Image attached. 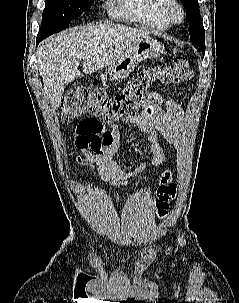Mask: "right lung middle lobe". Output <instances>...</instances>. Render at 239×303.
<instances>
[{
	"mask_svg": "<svg viewBox=\"0 0 239 303\" xmlns=\"http://www.w3.org/2000/svg\"><path fill=\"white\" fill-rule=\"evenodd\" d=\"M93 0H46L39 33L48 36L67 27L71 20L90 9Z\"/></svg>",
	"mask_w": 239,
	"mask_h": 303,
	"instance_id": "1",
	"label": "right lung middle lobe"
}]
</instances>
